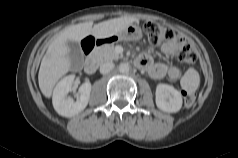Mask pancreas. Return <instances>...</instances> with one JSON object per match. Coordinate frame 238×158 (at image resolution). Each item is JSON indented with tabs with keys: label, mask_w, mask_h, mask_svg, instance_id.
<instances>
[{
	"label": "pancreas",
	"mask_w": 238,
	"mask_h": 158,
	"mask_svg": "<svg viewBox=\"0 0 238 158\" xmlns=\"http://www.w3.org/2000/svg\"><path fill=\"white\" fill-rule=\"evenodd\" d=\"M121 57L122 55H119L115 52V47L113 44H106L95 49L92 53V58L99 64L105 61L118 60Z\"/></svg>",
	"instance_id": "1"
}]
</instances>
